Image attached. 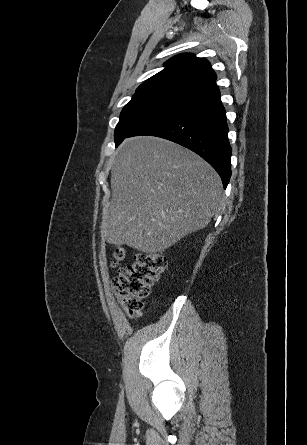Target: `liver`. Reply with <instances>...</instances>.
Here are the masks:
<instances>
[{"mask_svg": "<svg viewBox=\"0 0 307 445\" xmlns=\"http://www.w3.org/2000/svg\"><path fill=\"white\" fill-rule=\"evenodd\" d=\"M111 188L104 239L142 253H160L205 229L224 196L221 178L206 160L158 136H133L121 144Z\"/></svg>", "mask_w": 307, "mask_h": 445, "instance_id": "obj_1", "label": "liver"}]
</instances>
